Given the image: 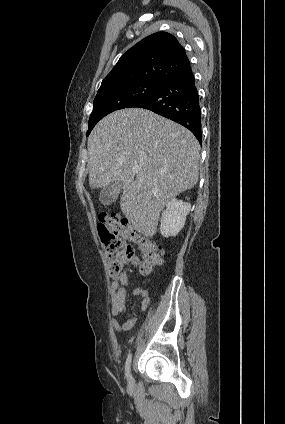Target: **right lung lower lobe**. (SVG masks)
<instances>
[{
  "label": "right lung lower lobe",
  "instance_id": "obj_1",
  "mask_svg": "<svg viewBox=\"0 0 285 424\" xmlns=\"http://www.w3.org/2000/svg\"><path fill=\"white\" fill-rule=\"evenodd\" d=\"M131 107L148 109L171 119L189 129L202 142L199 95L191 67L165 81L157 91Z\"/></svg>",
  "mask_w": 285,
  "mask_h": 424
}]
</instances>
